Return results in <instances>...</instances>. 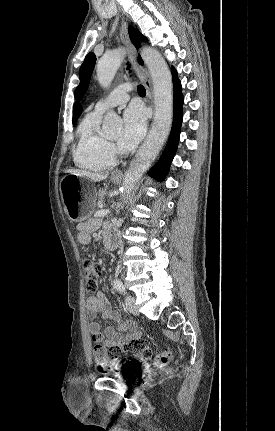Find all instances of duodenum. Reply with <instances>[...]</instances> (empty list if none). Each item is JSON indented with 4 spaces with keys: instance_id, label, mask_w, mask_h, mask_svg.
Wrapping results in <instances>:
<instances>
[{
    "instance_id": "duodenum-1",
    "label": "duodenum",
    "mask_w": 275,
    "mask_h": 431,
    "mask_svg": "<svg viewBox=\"0 0 275 431\" xmlns=\"http://www.w3.org/2000/svg\"><path fill=\"white\" fill-rule=\"evenodd\" d=\"M104 246L109 250H114L117 247L116 240L112 237L111 234H106L104 237Z\"/></svg>"
}]
</instances>
